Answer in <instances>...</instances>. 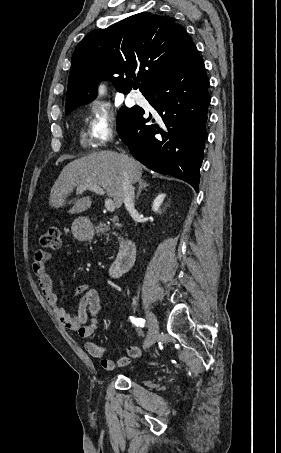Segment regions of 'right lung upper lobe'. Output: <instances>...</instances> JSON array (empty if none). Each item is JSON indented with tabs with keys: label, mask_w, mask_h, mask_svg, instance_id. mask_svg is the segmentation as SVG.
<instances>
[{
	"label": "right lung upper lobe",
	"mask_w": 281,
	"mask_h": 453,
	"mask_svg": "<svg viewBox=\"0 0 281 453\" xmlns=\"http://www.w3.org/2000/svg\"><path fill=\"white\" fill-rule=\"evenodd\" d=\"M197 54L184 27L169 16L144 12L93 30L73 53L65 112L94 100L102 79L124 94L132 87L144 93Z\"/></svg>",
	"instance_id": "right-lung-upper-lobe-1"
}]
</instances>
